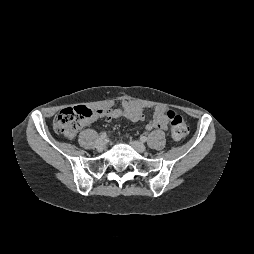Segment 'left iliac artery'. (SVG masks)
Segmentation results:
<instances>
[{
    "label": "left iliac artery",
    "instance_id": "left-iliac-artery-1",
    "mask_svg": "<svg viewBox=\"0 0 254 254\" xmlns=\"http://www.w3.org/2000/svg\"><path fill=\"white\" fill-rule=\"evenodd\" d=\"M140 140H141L142 142H145V141H147V137H146V136H141V137H140Z\"/></svg>",
    "mask_w": 254,
    "mask_h": 254
}]
</instances>
